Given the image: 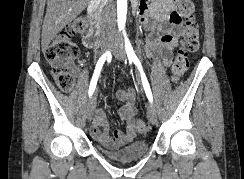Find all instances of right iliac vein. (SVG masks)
I'll return each instance as SVG.
<instances>
[{"mask_svg":"<svg viewBox=\"0 0 244 179\" xmlns=\"http://www.w3.org/2000/svg\"><path fill=\"white\" fill-rule=\"evenodd\" d=\"M109 47H110V43L109 42L105 43L102 46V52H105ZM95 108H96V96L93 95V96H91V98L89 99L88 104H87V117L89 120L92 119Z\"/></svg>","mask_w":244,"mask_h":179,"instance_id":"right-iliac-vein-1","label":"right iliac vein"}]
</instances>
